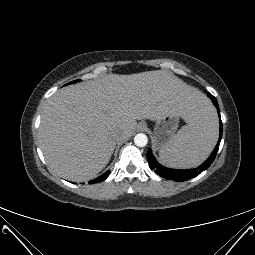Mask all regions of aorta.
Here are the masks:
<instances>
[{
  "label": "aorta",
  "mask_w": 255,
  "mask_h": 255,
  "mask_svg": "<svg viewBox=\"0 0 255 255\" xmlns=\"http://www.w3.org/2000/svg\"><path fill=\"white\" fill-rule=\"evenodd\" d=\"M134 143L138 147H144L148 143V138L145 134L143 133H138L134 137Z\"/></svg>",
  "instance_id": "aorta-1"
}]
</instances>
